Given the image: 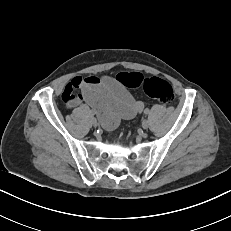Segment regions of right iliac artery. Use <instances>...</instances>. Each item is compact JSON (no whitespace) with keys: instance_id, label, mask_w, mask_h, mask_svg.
Returning <instances> with one entry per match:
<instances>
[{"instance_id":"1","label":"right iliac artery","mask_w":231,"mask_h":231,"mask_svg":"<svg viewBox=\"0 0 231 231\" xmlns=\"http://www.w3.org/2000/svg\"><path fill=\"white\" fill-rule=\"evenodd\" d=\"M90 113H91V115H92V116H94V115H95V112H94V111H91Z\"/></svg>"}]
</instances>
